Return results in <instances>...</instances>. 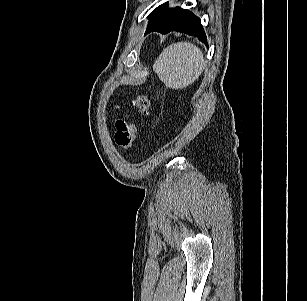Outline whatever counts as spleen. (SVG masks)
<instances>
[{
	"label": "spleen",
	"instance_id": "3e777b00",
	"mask_svg": "<svg viewBox=\"0 0 307 301\" xmlns=\"http://www.w3.org/2000/svg\"><path fill=\"white\" fill-rule=\"evenodd\" d=\"M205 64L202 51L189 42L166 47L153 64V70L166 87L183 89L201 75Z\"/></svg>",
	"mask_w": 307,
	"mask_h": 301
}]
</instances>
